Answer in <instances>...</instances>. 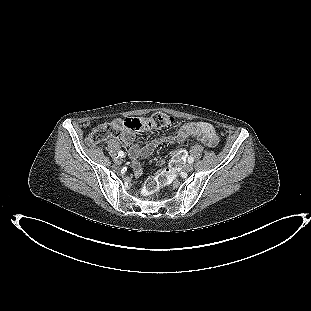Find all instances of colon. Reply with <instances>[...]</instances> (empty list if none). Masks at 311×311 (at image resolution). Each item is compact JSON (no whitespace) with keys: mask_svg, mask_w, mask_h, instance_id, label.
Returning <instances> with one entry per match:
<instances>
[{"mask_svg":"<svg viewBox=\"0 0 311 311\" xmlns=\"http://www.w3.org/2000/svg\"><path fill=\"white\" fill-rule=\"evenodd\" d=\"M174 118L164 113H155L151 117H132L122 120H114L94 128L87 136L86 143L89 146H97L111 137L119 134L122 128L128 130H143L152 127H164L172 124ZM176 161L172 160L169 166L161 170L156 176L149 178L143 186L144 195H152L162 186L169 184L174 177Z\"/></svg>","mask_w":311,"mask_h":311,"instance_id":"5ec220e1","label":"colon"}]
</instances>
